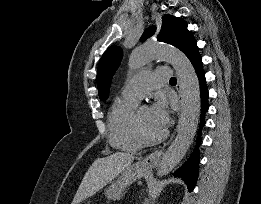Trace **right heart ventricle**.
<instances>
[{"mask_svg":"<svg viewBox=\"0 0 261 204\" xmlns=\"http://www.w3.org/2000/svg\"><path fill=\"white\" fill-rule=\"evenodd\" d=\"M138 101L118 97L114 100L109 115V141L119 150L137 152L143 147L134 127V115Z\"/></svg>","mask_w":261,"mask_h":204,"instance_id":"right-heart-ventricle-1","label":"right heart ventricle"}]
</instances>
